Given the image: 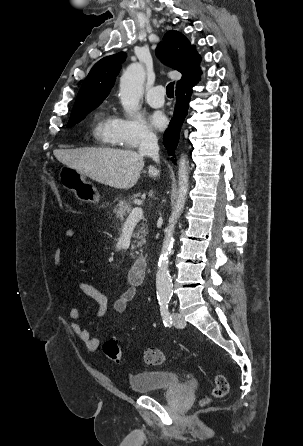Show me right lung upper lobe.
<instances>
[{"instance_id": "1", "label": "right lung upper lobe", "mask_w": 303, "mask_h": 446, "mask_svg": "<svg viewBox=\"0 0 303 446\" xmlns=\"http://www.w3.org/2000/svg\"><path fill=\"white\" fill-rule=\"evenodd\" d=\"M161 61L182 73L177 87L200 77V56L184 35L175 30L168 31L156 48ZM126 54L120 52L98 61L82 84L72 112L90 106H98L109 94ZM176 87V88H177Z\"/></svg>"}]
</instances>
